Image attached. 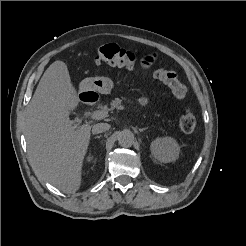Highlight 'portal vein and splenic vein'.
<instances>
[{"label":"portal vein and splenic vein","mask_w":246,"mask_h":246,"mask_svg":"<svg viewBox=\"0 0 246 246\" xmlns=\"http://www.w3.org/2000/svg\"><path fill=\"white\" fill-rule=\"evenodd\" d=\"M119 110H125V107L124 106H119L118 107ZM108 116V110H98V111H95L91 114V119L93 120H101L105 117Z\"/></svg>","instance_id":"18ae733b"}]
</instances>
